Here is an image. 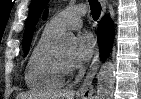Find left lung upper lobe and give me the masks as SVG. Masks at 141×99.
Instances as JSON below:
<instances>
[{
  "instance_id": "5c2ea615",
  "label": "left lung upper lobe",
  "mask_w": 141,
  "mask_h": 99,
  "mask_svg": "<svg viewBox=\"0 0 141 99\" xmlns=\"http://www.w3.org/2000/svg\"><path fill=\"white\" fill-rule=\"evenodd\" d=\"M47 2L48 0H32L31 2L23 39L25 54H27L31 44L33 29L38 21L42 9L44 8V4H46Z\"/></svg>"
}]
</instances>
